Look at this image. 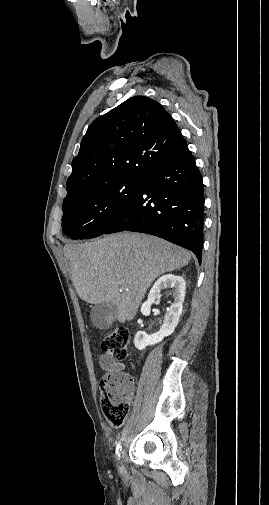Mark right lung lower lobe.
I'll use <instances>...</instances> for the list:
<instances>
[{"mask_svg": "<svg viewBox=\"0 0 269 505\" xmlns=\"http://www.w3.org/2000/svg\"><path fill=\"white\" fill-rule=\"evenodd\" d=\"M122 215L105 233L143 232L191 250L201 263L204 184L188 147L150 170Z\"/></svg>", "mask_w": 269, "mask_h": 505, "instance_id": "1", "label": "right lung lower lobe"}]
</instances>
